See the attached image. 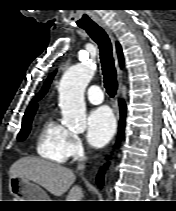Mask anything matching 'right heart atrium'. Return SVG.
<instances>
[{
    "instance_id": "d8ad5b80",
    "label": "right heart atrium",
    "mask_w": 176,
    "mask_h": 211,
    "mask_svg": "<svg viewBox=\"0 0 176 211\" xmlns=\"http://www.w3.org/2000/svg\"><path fill=\"white\" fill-rule=\"evenodd\" d=\"M84 152V145L81 138L74 133L69 132L67 140V153L68 157L78 158Z\"/></svg>"
}]
</instances>
